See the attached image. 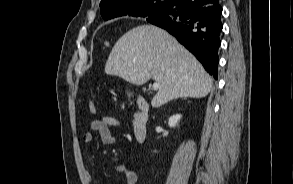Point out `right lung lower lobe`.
I'll return each mask as SVG.
<instances>
[{"mask_svg":"<svg viewBox=\"0 0 293 184\" xmlns=\"http://www.w3.org/2000/svg\"><path fill=\"white\" fill-rule=\"evenodd\" d=\"M171 0L163 16L148 22L166 29L217 79L222 8L219 0Z\"/></svg>","mask_w":293,"mask_h":184,"instance_id":"right-lung-lower-lobe-1","label":"right lung lower lobe"}]
</instances>
